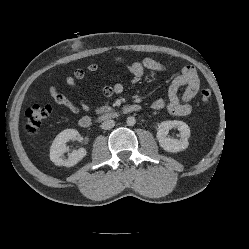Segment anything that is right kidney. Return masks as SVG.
Masks as SVG:
<instances>
[{
  "label": "right kidney",
  "mask_w": 249,
  "mask_h": 249,
  "mask_svg": "<svg viewBox=\"0 0 249 249\" xmlns=\"http://www.w3.org/2000/svg\"><path fill=\"white\" fill-rule=\"evenodd\" d=\"M77 139H79V133L75 129H66L56 136L50 148V159L56 166L71 167L86 156V150L80 148L69 153L67 158L64 157V154L68 151L66 143Z\"/></svg>",
  "instance_id": "1"
}]
</instances>
